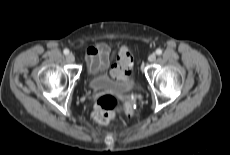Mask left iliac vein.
Wrapping results in <instances>:
<instances>
[{
    "instance_id": "4c4485c4",
    "label": "left iliac vein",
    "mask_w": 230,
    "mask_h": 155,
    "mask_svg": "<svg viewBox=\"0 0 230 155\" xmlns=\"http://www.w3.org/2000/svg\"><path fill=\"white\" fill-rule=\"evenodd\" d=\"M148 60L150 62H154L156 60V55L154 53L150 54L149 57H148Z\"/></svg>"
}]
</instances>
